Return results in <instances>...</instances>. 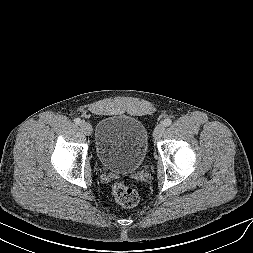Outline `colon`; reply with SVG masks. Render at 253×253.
<instances>
[{
	"mask_svg": "<svg viewBox=\"0 0 253 253\" xmlns=\"http://www.w3.org/2000/svg\"><path fill=\"white\" fill-rule=\"evenodd\" d=\"M115 200L126 208H133L139 202L137 191L125 182H117L112 187Z\"/></svg>",
	"mask_w": 253,
	"mask_h": 253,
	"instance_id": "colon-1",
	"label": "colon"
}]
</instances>
